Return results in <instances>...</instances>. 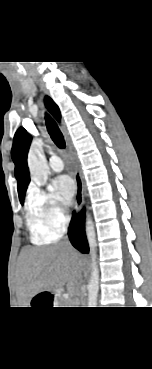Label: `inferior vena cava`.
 Listing matches in <instances>:
<instances>
[{"instance_id": "602c4592", "label": "inferior vena cava", "mask_w": 152, "mask_h": 369, "mask_svg": "<svg viewBox=\"0 0 152 369\" xmlns=\"http://www.w3.org/2000/svg\"><path fill=\"white\" fill-rule=\"evenodd\" d=\"M62 244L66 245V246H71L70 242L67 239L64 242H62Z\"/></svg>"}]
</instances>
